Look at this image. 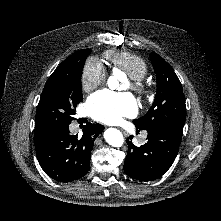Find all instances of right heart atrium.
I'll use <instances>...</instances> for the list:
<instances>
[{"mask_svg":"<svg viewBox=\"0 0 221 221\" xmlns=\"http://www.w3.org/2000/svg\"><path fill=\"white\" fill-rule=\"evenodd\" d=\"M107 79V70L97 58H89L80 74L81 88L85 92H91L102 85Z\"/></svg>","mask_w":221,"mask_h":221,"instance_id":"1","label":"right heart atrium"}]
</instances>
